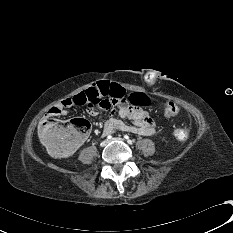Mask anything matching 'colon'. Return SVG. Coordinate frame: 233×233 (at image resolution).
Wrapping results in <instances>:
<instances>
[{"label":"colon","mask_w":233,"mask_h":233,"mask_svg":"<svg viewBox=\"0 0 233 233\" xmlns=\"http://www.w3.org/2000/svg\"><path fill=\"white\" fill-rule=\"evenodd\" d=\"M113 94L114 101L126 100L130 106L143 108L147 105V97L139 91H131L127 94L124 85L120 81L99 80L94 87L80 92L71 98L76 106H86L89 110L96 109V105L103 97ZM179 107L168 102L164 107V115L173 117L179 113ZM91 129L89 121L83 118H75L69 123L61 124L56 120L44 121L39 129V136L48 151L56 158H66L72 155L77 147L84 141ZM178 140H187L190 136L188 128L179 127L173 132Z\"/></svg>","instance_id":"5ec220e1"}]
</instances>
